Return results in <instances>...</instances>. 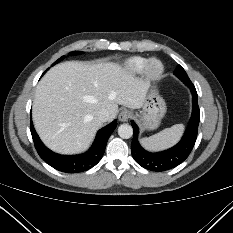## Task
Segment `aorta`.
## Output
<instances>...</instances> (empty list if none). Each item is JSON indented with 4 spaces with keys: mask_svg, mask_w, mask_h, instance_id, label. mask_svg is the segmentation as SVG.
I'll return each mask as SVG.
<instances>
[{
    "mask_svg": "<svg viewBox=\"0 0 233 233\" xmlns=\"http://www.w3.org/2000/svg\"><path fill=\"white\" fill-rule=\"evenodd\" d=\"M118 135L123 139H129L133 135V128L129 124H121L118 127Z\"/></svg>",
    "mask_w": 233,
    "mask_h": 233,
    "instance_id": "762f6f07",
    "label": "aorta"
}]
</instances>
